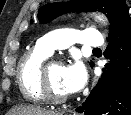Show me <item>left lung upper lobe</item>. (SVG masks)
<instances>
[{"label":"left lung upper lobe","mask_w":131,"mask_h":115,"mask_svg":"<svg viewBox=\"0 0 131 115\" xmlns=\"http://www.w3.org/2000/svg\"><path fill=\"white\" fill-rule=\"evenodd\" d=\"M69 10H84L103 12L108 17L111 27L110 35L117 27L129 17L125 0H72L70 3H50L41 7L38 11V19L41 23H47L55 17ZM93 65V62L91 63Z\"/></svg>","instance_id":"1"}]
</instances>
